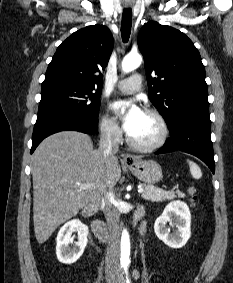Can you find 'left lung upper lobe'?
Instances as JSON below:
<instances>
[{
	"label": "left lung upper lobe",
	"mask_w": 233,
	"mask_h": 283,
	"mask_svg": "<svg viewBox=\"0 0 233 283\" xmlns=\"http://www.w3.org/2000/svg\"><path fill=\"white\" fill-rule=\"evenodd\" d=\"M137 42L144 56L149 99L168 126L191 113H209L205 68L184 33L152 21L143 25Z\"/></svg>",
	"instance_id": "obj_1"
}]
</instances>
